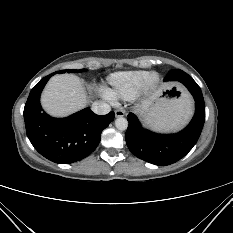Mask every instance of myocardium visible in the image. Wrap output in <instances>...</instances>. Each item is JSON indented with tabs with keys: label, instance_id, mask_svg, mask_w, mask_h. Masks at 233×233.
<instances>
[{
	"label": "myocardium",
	"instance_id": "myocardium-1",
	"mask_svg": "<svg viewBox=\"0 0 233 233\" xmlns=\"http://www.w3.org/2000/svg\"><path fill=\"white\" fill-rule=\"evenodd\" d=\"M160 78L158 74L156 73H150L149 76L147 77L144 86L142 88V91L144 92H150L154 90L158 84H159Z\"/></svg>",
	"mask_w": 233,
	"mask_h": 233
}]
</instances>
